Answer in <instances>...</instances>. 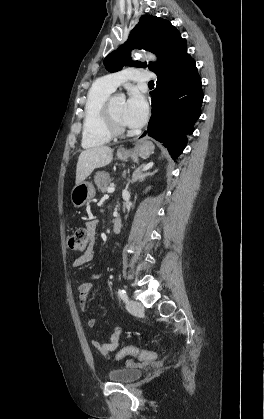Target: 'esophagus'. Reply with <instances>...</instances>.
Returning a JSON list of instances; mask_svg holds the SVG:
<instances>
[{"mask_svg":"<svg viewBox=\"0 0 264 419\" xmlns=\"http://www.w3.org/2000/svg\"><path fill=\"white\" fill-rule=\"evenodd\" d=\"M147 137V133H146V131H143L142 132V134L138 137V141H142V140H144L145 138ZM119 152L120 153H127L128 151H127V149L126 148H124V147H121V148H119Z\"/></svg>","mask_w":264,"mask_h":419,"instance_id":"34e87169","label":"esophagus"}]
</instances>
